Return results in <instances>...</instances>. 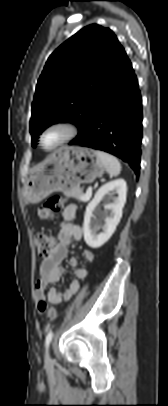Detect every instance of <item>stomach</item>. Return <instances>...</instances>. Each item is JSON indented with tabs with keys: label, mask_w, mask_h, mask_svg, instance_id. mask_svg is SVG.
I'll list each match as a JSON object with an SVG mask.
<instances>
[{
	"label": "stomach",
	"mask_w": 168,
	"mask_h": 406,
	"mask_svg": "<svg viewBox=\"0 0 168 406\" xmlns=\"http://www.w3.org/2000/svg\"><path fill=\"white\" fill-rule=\"evenodd\" d=\"M105 167L96 151L85 147H61L30 176L25 184V198L38 203L52 192L78 189L101 177Z\"/></svg>",
	"instance_id": "obj_1"
}]
</instances>
